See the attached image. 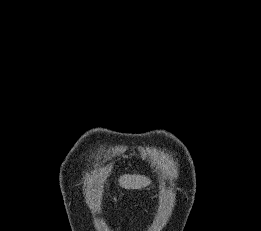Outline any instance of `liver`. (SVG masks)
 <instances>
[{
  "instance_id": "6515ba94",
  "label": "liver",
  "mask_w": 261,
  "mask_h": 231,
  "mask_svg": "<svg viewBox=\"0 0 261 231\" xmlns=\"http://www.w3.org/2000/svg\"><path fill=\"white\" fill-rule=\"evenodd\" d=\"M120 186L125 189H141L147 187L151 181L141 175H123L119 179Z\"/></svg>"
}]
</instances>
